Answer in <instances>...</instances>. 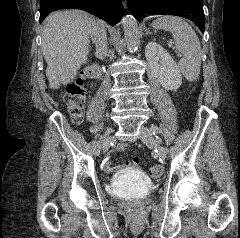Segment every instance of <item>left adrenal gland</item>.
<instances>
[{
    "label": "left adrenal gland",
    "instance_id": "a2214340",
    "mask_svg": "<svg viewBox=\"0 0 240 238\" xmlns=\"http://www.w3.org/2000/svg\"><path fill=\"white\" fill-rule=\"evenodd\" d=\"M150 33V31L146 30V35H148Z\"/></svg>",
    "mask_w": 240,
    "mask_h": 238
}]
</instances>
